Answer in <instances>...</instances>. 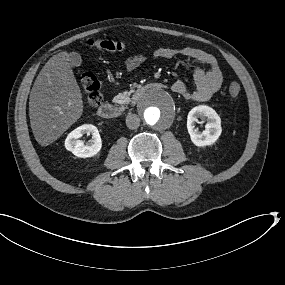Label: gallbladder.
Returning <instances> with one entry per match:
<instances>
[{"label":"gallbladder","instance_id":"1","mask_svg":"<svg viewBox=\"0 0 285 285\" xmlns=\"http://www.w3.org/2000/svg\"><path fill=\"white\" fill-rule=\"evenodd\" d=\"M82 62L80 54L72 52L69 54V63L71 66H80Z\"/></svg>","mask_w":285,"mask_h":285}]
</instances>
